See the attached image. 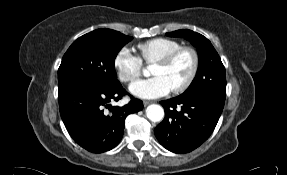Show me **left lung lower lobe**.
<instances>
[{
  "label": "left lung lower lobe",
  "mask_w": 287,
  "mask_h": 175,
  "mask_svg": "<svg viewBox=\"0 0 287 175\" xmlns=\"http://www.w3.org/2000/svg\"><path fill=\"white\" fill-rule=\"evenodd\" d=\"M224 102L202 94H181L161 101L165 118L154 129L157 140L174 153H187L196 149L212 134Z\"/></svg>",
  "instance_id": "1"
}]
</instances>
